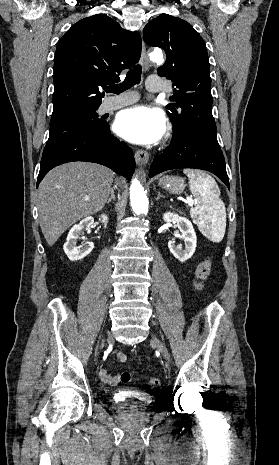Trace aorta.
I'll return each instance as SVG.
<instances>
[{
    "mask_svg": "<svg viewBox=\"0 0 279 465\" xmlns=\"http://www.w3.org/2000/svg\"><path fill=\"white\" fill-rule=\"evenodd\" d=\"M151 58L155 61L161 60L163 55L160 50H155L151 53ZM130 201L131 207L135 214H147L148 213V198L144 191V188L136 179H134L130 186Z\"/></svg>",
    "mask_w": 279,
    "mask_h": 465,
    "instance_id": "762f6f07",
    "label": "aorta"
}]
</instances>
